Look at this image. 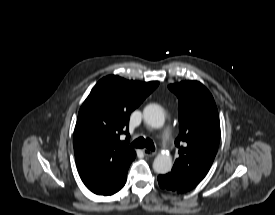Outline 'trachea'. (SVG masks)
Wrapping results in <instances>:
<instances>
[{"mask_svg":"<svg viewBox=\"0 0 275 215\" xmlns=\"http://www.w3.org/2000/svg\"><path fill=\"white\" fill-rule=\"evenodd\" d=\"M131 146L135 147V148H144V147H146L147 149H149L151 151L155 150L154 143L149 138L145 139L143 137H139L131 143Z\"/></svg>","mask_w":275,"mask_h":215,"instance_id":"obj_1","label":"trachea"}]
</instances>
